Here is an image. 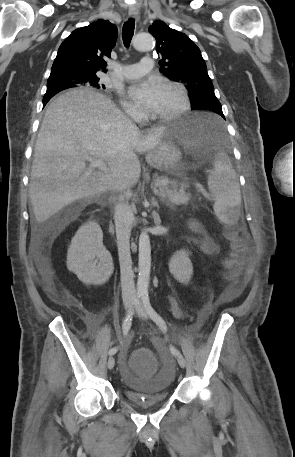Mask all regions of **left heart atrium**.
<instances>
[{"instance_id":"obj_1","label":"left heart atrium","mask_w":295,"mask_h":457,"mask_svg":"<svg viewBox=\"0 0 295 457\" xmlns=\"http://www.w3.org/2000/svg\"><path fill=\"white\" fill-rule=\"evenodd\" d=\"M160 93L161 85L153 79L135 83L129 88L130 98L150 111L156 106Z\"/></svg>"}]
</instances>
